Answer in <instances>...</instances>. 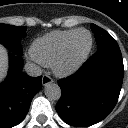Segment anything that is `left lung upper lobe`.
<instances>
[{
	"mask_svg": "<svg viewBox=\"0 0 128 128\" xmlns=\"http://www.w3.org/2000/svg\"><path fill=\"white\" fill-rule=\"evenodd\" d=\"M91 28L97 41V50L107 46L118 45L115 39L104 29L100 28L95 24H91Z\"/></svg>",
	"mask_w": 128,
	"mask_h": 128,
	"instance_id": "obj_1",
	"label": "left lung upper lobe"
}]
</instances>
